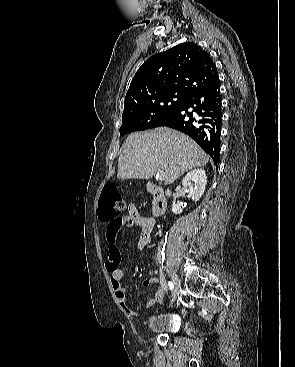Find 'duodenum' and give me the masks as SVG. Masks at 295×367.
<instances>
[{
    "instance_id": "1",
    "label": "duodenum",
    "mask_w": 295,
    "mask_h": 367,
    "mask_svg": "<svg viewBox=\"0 0 295 367\" xmlns=\"http://www.w3.org/2000/svg\"><path fill=\"white\" fill-rule=\"evenodd\" d=\"M147 190L153 197V214L155 216L162 215L167 207V200L163 189L153 183H148Z\"/></svg>"
}]
</instances>
